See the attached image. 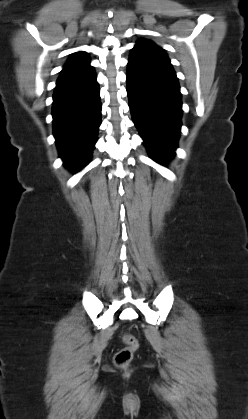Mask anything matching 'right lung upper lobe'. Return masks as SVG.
<instances>
[{
    "mask_svg": "<svg viewBox=\"0 0 248 419\" xmlns=\"http://www.w3.org/2000/svg\"><path fill=\"white\" fill-rule=\"evenodd\" d=\"M89 62V58L86 52H76L71 54L68 62L64 65V68L61 72L81 66Z\"/></svg>",
    "mask_w": 248,
    "mask_h": 419,
    "instance_id": "obj_1",
    "label": "right lung upper lobe"
}]
</instances>
